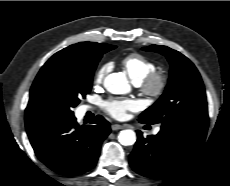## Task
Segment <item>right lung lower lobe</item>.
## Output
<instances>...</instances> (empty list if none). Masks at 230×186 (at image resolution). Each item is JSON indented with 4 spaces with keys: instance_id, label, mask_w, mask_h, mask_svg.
Returning <instances> with one entry per match:
<instances>
[{
    "instance_id": "1",
    "label": "right lung lower lobe",
    "mask_w": 230,
    "mask_h": 186,
    "mask_svg": "<svg viewBox=\"0 0 230 186\" xmlns=\"http://www.w3.org/2000/svg\"><path fill=\"white\" fill-rule=\"evenodd\" d=\"M94 125L79 126L75 117L48 120L27 129L37 157L53 171L66 176L92 169L98 160L110 124L98 115Z\"/></svg>"
}]
</instances>
